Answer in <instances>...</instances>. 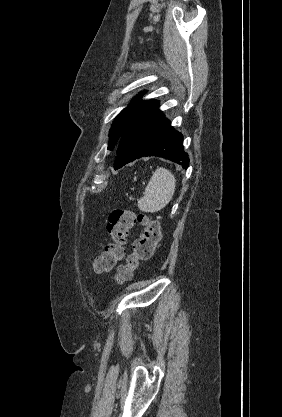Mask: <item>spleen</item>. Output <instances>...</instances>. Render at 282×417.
Returning <instances> with one entry per match:
<instances>
[{
  "instance_id": "1",
  "label": "spleen",
  "mask_w": 282,
  "mask_h": 417,
  "mask_svg": "<svg viewBox=\"0 0 282 417\" xmlns=\"http://www.w3.org/2000/svg\"><path fill=\"white\" fill-rule=\"evenodd\" d=\"M176 180L174 174L159 166L153 172L146 188L144 196L139 198L137 204L144 213H158L170 202L175 192Z\"/></svg>"
}]
</instances>
